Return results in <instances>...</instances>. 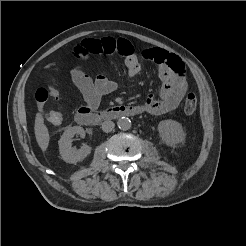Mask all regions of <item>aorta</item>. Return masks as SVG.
Returning <instances> with one entry per match:
<instances>
[{
  "instance_id": "aorta-1",
  "label": "aorta",
  "mask_w": 246,
  "mask_h": 246,
  "mask_svg": "<svg viewBox=\"0 0 246 246\" xmlns=\"http://www.w3.org/2000/svg\"><path fill=\"white\" fill-rule=\"evenodd\" d=\"M117 126L120 130H128L131 128V120L127 117H121L117 121Z\"/></svg>"
}]
</instances>
